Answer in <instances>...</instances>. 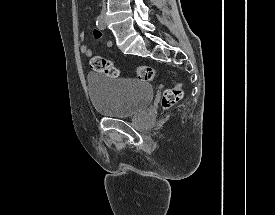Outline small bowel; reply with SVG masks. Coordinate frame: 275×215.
I'll list each match as a JSON object with an SVG mask.
<instances>
[{
	"label": "small bowel",
	"mask_w": 275,
	"mask_h": 215,
	"mask_svg": "<svg viewBox=\"0 0 275 215\" xmlns=\"http://www.w3.org/2000/svg\"><path fill=\"white\" fill-rule=\"evenodd\" d=\"M93 34H94V37L96 39H100L102 37V33L100 31V28L99 29H95L94 32H93ZM85 36H86L85 32H81L79 34V39L83 40L85 38ZM105 47H107V48L112 47V41H106L105 42ZM79 50H80L81 54L85 55L88 58H92V51H91V49L88 46L82 45V46H80Z\"/></svg>",
	"instance_id": "c3829d8e"
}]
</instances>
